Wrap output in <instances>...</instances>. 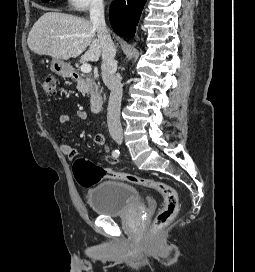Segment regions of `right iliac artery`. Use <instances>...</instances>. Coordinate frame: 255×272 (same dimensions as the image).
Instances as JSON below:
<instances>
[{
    "label": "right iliac artery",
    "instance_id": "obj_1",
    "mask_svg": "<svg viewBox=\"0 0 255 272\" xmlns=\"http://www.w3.org/2000/svg\"><path fill=\"white\" fill-rule=\"evenodd\" d=\"M119 154H120V152H119V150H117V149L112 151V156H113L114 158L119 157Z\"/></svg>",
    "mask_w": 255,
    "mask_h": 272
}]
</instances>
